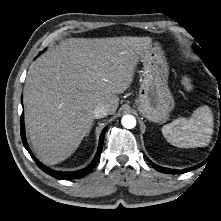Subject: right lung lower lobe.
I'll return each mask as SVG.
<instances>
[{"mask_svg":"<svg viewBox=\"0 0 221 221\" xmlns=\"http://www.w3.org/2000/svg\"><path fill=\"white\" fill-rule=\"evenodd\" d=\"M106 129L105 128L102 133H101V136H100V141H99V147H98V150H97V153H96V156L94 158V160L92 161V163L86 167L85 169H82V170H79V171H74V172H61V171H54V170H51L49 169L48 167L44 166L42 163H40L34 156L33 154L31 153L29 147H28V144L26 142V138H25V133H24V122H23V116L21 117V138H22V142L25 146V148L27 149V151L29 152V154L31 155V157L34 159V161L36 162V164L45 172L47 173L48 175L52 176V177H55L57 179H77V178H80V177H83V176H86L92 169L93 167L95 166L99 156H100V153L102 151V146H103V142H104V135H105V132H106Z\"/></svg>","mask_w":221,"mask_h":221,"instance_id":"obj_1","label":"right lung lower lobe"}]
</instances>
